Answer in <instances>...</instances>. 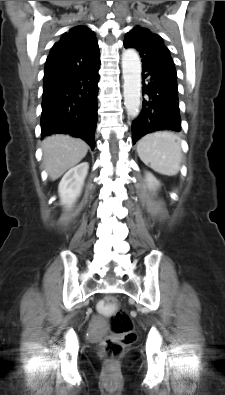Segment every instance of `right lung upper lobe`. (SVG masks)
Masks as SVG:
<instances>
[{"label":"right lung upper lobe","instance_id":"right-lung-upper-lobe-1","mask_svg":"<svg viewBox=\"0 0 225 395\" xmlns=\"http://www.w3.org/2000/svg\"><path fill=\"white\" fill-rule=\"evenodd\" d=\"M99 60V47L94 32L83 25L73 27L62 35L47 57L44 82L68 72L92 66Z\"/></svg>","mask_w":225,"mask_h":395}]
</instances>
